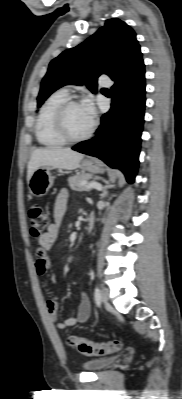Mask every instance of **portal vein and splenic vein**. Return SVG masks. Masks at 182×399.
<instances>
[{"label": "portal vein and splenic vein", "instance_id": "1", "mask_svg": "<svg viewBox=\"0 0 182 399\" xmlns=\"http://www.w3.org/2000/svg\"><path fill=\"white\" fill-rule=\"evenodd\" d=\"M86 187H87V189L94 188L96 190H102V185L95 181L88 183Z\"/></svg>", "mask_w": 182, "mask_h": 399}]
</instances>
